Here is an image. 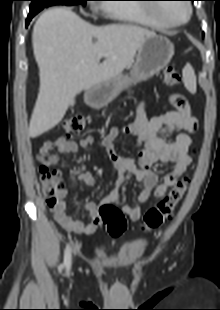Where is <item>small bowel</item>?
<instances>
[{
	"mask_svg": "<svg viewBox=\"0 0 220 310\" xmlns=\"http://www.w3.org/2000/svg\"><path fill=\"white\" fill-rule=\"evenodd\" d=\"M170 103L174 107L173 110L151 118H148L146 114V104L141 103L131 124L123 128H112L99 142L107 149L108 155L118 172L114 187L104 197L103 204L117 203L120 188L129 179L135 178L143 183V188L137 197L138 205L122 206V211L132 222H137L141 218L140 205L147 202L152 195L160 198L167 193L186 172L191 163L189 147L192 139L190 133L196 130L197 119L192 115L191 107L184 95L172 94ZM120 133L137 139L142 148L136 158L122 156L114 151V143ZM164 134L173 135V139L164 140ZM94 142L93 136H87L79 143L67 140L64 137H59L54 141L47 140L39 148L37 159L42 167L50 168L59 162L60 154L76 153L80 148L89 151ZM157 161L173 165L172 170L163 177L161 183H159L158 175L152 170V166ZM68 174V187L63 190L59 203L52 208L53 215L66 231L80 235H91L102 225L99 215L100 204L92 201L84 204V210L90 218V221L86 223L67 214L64 198L70 190L77 188L80 183L94 186L96 177L91 172L84 171L83 166L71 168Z\"/></svg>",
	"mask_w": 220,
	"mask_h": 310,
	"instance_id": "1",
	"label": "small bowel"
}]
</instances>
